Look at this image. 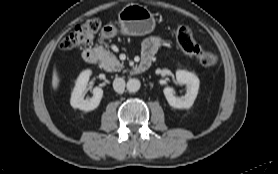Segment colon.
Returning a JSON list of instances; mask_svg holds the SVG:
<instances>
[{
    "label": "colon",
    "mask_w": 278,
    "mask_h": 174,
    "mask_svg": "<svg viewBox=\"0 0 278 174\" xmlns=\"http://www.w3.org/2000/svg\"><path fill=\"white\" fill-rule=\"evenodd\" d=\"M100 27L101 22L95 18L78 24L69 35L62 39L60 49L69 51L77 47L88 45L99 31ZM176 39L181 50L197 58L202 65L212 67L218 63V55L203 48L195 40L189 27L185 25L179 26L176 31Z\"/></svg>",
    "instance_id": "colon-1"
}]
</instances>
